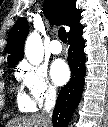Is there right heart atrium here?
<instances>
[{
	"instance_id": "right-heart-atrium-1",
	"label": "right heart atrium",
	"mask_w": 108,
	"mask_h": 127,
	"mask_svg": "<svg viewBox=\"0 0 108 127\" xmlns=\"http://www.w3.org/2000/svg\"><path fill=\"white\" fill-rule=\"evenodd\" d=\"M17 77L28 91L34 105L40 106L55 99L57 89L50 81L44 67L24 62L18 67Z\"/></svg>"
}]
</instances>
